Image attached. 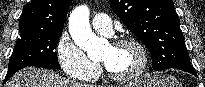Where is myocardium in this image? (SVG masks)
Here are the masks:
<instances>
[{"instance_id": "f54148a6", "label": "myocardium", "mask_w": 205, "mask_h": 87, "mask_svg": "<svg viewBox=\"0 0 205 87\" xmlns=\"http://www.w3.org/2000/svg\"><path fill=\"white\" fill-rule=\"evenodd\" d=\"M112 46H123V45H132L135 46L138 51L140 52L141 55V63L139 67L133 71L130 74L127 75H117L110 71L103 63H102V68L104 70L105 75L115 81V82H120V83H127L133 80H136L139 78L147 69L148 63H149V54L147 51L146 46L138 39L133 38V37H123L119 38L115 41L112 42Z\"/></svg>"}]
</instances>
